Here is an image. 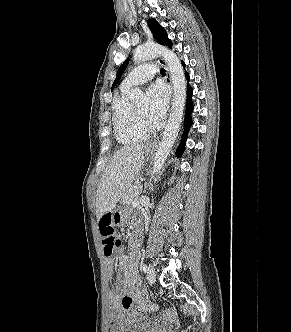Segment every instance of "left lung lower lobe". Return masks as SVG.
<instances>
[{
    "label": "left lung lower lobe",
    "instance_id": "0a47b994",
    "mask_svg": "<svg viewBox=\"0 0 291 332\" xmlns=\"http://www.w3.org/2000/svg\"><path fill=\"white\" fill-rule=\"evenodd\" d=\"M183 66H185V63L182 62ZM186 78L189 81V75L186 72ZM187 104H186V114H185V130L183 132V138L181 141V144L179 145V147L176 150V155L181 156L183 154L184 151V145H185V141L189 132V129L192 125V118H191V113L193 111V103H192V89L190 87V85L188 84V88H187Z\"/></svg>",
    "mask_w": 291,
    "mask_h": 332
}]
</instances>
